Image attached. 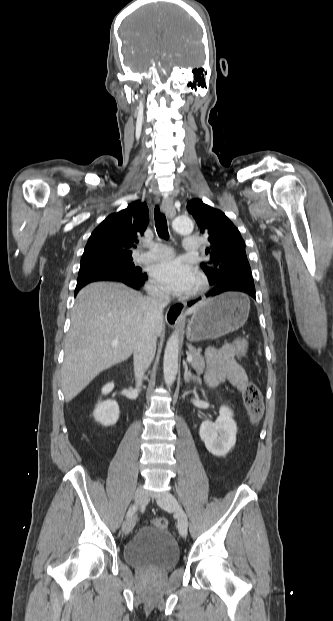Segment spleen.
<instances>
[{
	"label": "spleen",
	"instance_id": "1",
	"mask_svg": "<svg viewBox=\"0 0 333 621\" xmlns=\"http://www.w3.org/2000/svg\"><path fill=\"white\" fill-rule=\"evenodd\" d=\"M258 354L261 355V351H258Z\"/></svg>",
	"mask_w": 333,
	"mask_h": 621
}]
</instances>
